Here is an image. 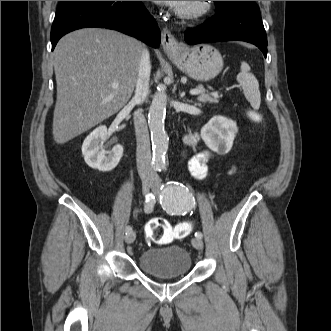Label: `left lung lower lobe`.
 Masks as SVG:
<instances>
[{
    "mask_svg": "<svg viewBox=\"0 0 331 331\" xmlns=\"http://www.w3.org/2000/svg\"><path fill=\"white\" fill-rule=\"evenodd\" d=\"M188 44L246 41L267 55V36L256 4L224 8L195 30L184 33Z\"/></svg>",
    "mask_w": 331,
    "mask_h": 331,
    "instance_id": "0a47b994",
    "label": "left lung lower lobe"
}]
</instances>
